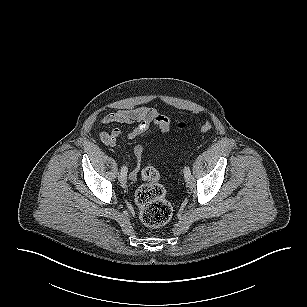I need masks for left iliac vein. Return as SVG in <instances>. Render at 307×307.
<instances>
[{"label": "left iliac vein", "instance_id": "1", "mask_svg": "<svg viewBox=\"0 0 307 307\" xmlns=\"http://www.w3.org/2000/svg\"><path fill=\"white\" fill-rule=\"evenodd\" d=\"M185 181L188 187L192 188L194 186V177L191 174V171L188 175L185 176Z\"/></svg>", "mask_w": 307, "mask_h": 307}]
</instances>
